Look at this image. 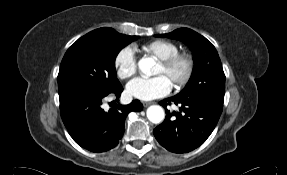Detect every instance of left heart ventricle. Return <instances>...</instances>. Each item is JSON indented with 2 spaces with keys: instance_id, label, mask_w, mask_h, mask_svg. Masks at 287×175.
Segmentation results:
<instances>
[{
  "instance_id": "b2bd125f",
  "label": "left heart ventricle",
  "mask_w": 287,
  "mask_h": 175,
  "mask_svg": "<svg viewBox=\"0 0 287 175\" xmlns=\"http://www.w3.org/2000/svg\"><path fill=\"white\" fill-rule=\"evenodd\" d=\"M181 71H182V67L179 66V67H177L175 73H180ZM155 74H157V75H160V74L165 75L171 82L173 80V74L165 71V69L163 68V66L160 63L157 66Z\"/></svg>"
}]
</instances>
